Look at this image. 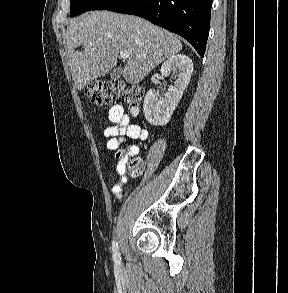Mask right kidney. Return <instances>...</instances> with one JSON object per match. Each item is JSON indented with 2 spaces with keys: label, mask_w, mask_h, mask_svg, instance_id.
I'll return each instance as SVG.
<instances>
[{
  "label": "right kidney",
  "mask_w": 288,
  "mask_h": 293,
  "mask_svg": "<svg viewBox=\"0 0 288 293\" xmlns=\"http://www.w3.org/2000/svg\"><path fill=\"white\" fill-rule=\"evenodd\" d=\"M162 77L170 71L176 75L174 86H171L163 98H158L154 89H150L144 98L143 113L146 120L155 126L166 125L175 110L184 90L188 86L193 72L192 60L183 54L170 57L161 66Z\"/></svg>",
  "instance_id": "right-kidney-1"
}]
</instances>
